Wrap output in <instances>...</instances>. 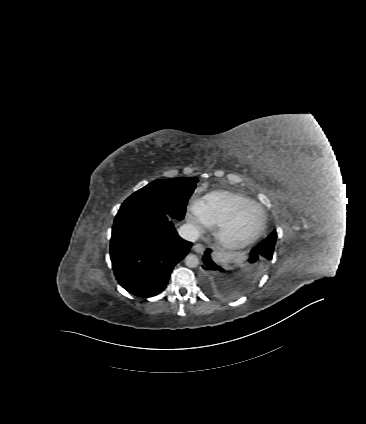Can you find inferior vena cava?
<instances>
[{"mask_svg":"<svg viewBox=\"0 0 366 424\" xmlns=\"http://www.w3.org/2000/svg\"><path fill=\"white\" fill-rule=\"evenodd\" d=\"M178 234L181 238L190 241V242H195L198 240L199 236H200V232L197 229V227L191 223H186L184 225H182L179 229H178Z\"/></svg>","mask_w":366,"mask_h":424,"instance_id":"obj_1","label":"inferior vena cava"}]
</instances>
